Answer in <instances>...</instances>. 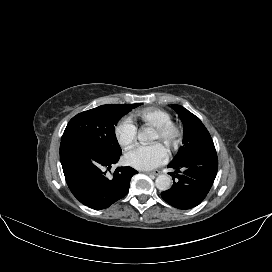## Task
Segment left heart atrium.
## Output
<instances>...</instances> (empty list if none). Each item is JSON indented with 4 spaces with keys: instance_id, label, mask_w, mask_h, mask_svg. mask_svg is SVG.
I'll return each mask as SVG.
<instances>
[{
    "instance_id": "1",
    "label": "left heart atrium",
    "mask_w": 272,
    "mask_h": 272,
    "mask_svg": "<svg viewBox=\"0 0 272 272\" xmlns=\"http://www.w3.org/2000/svg\"><path fill=\"white\" fill-rule=\"evenodd\" d=\"M129 165L140 170H151L162 164L167 153L165 148L158 142L147 146H136L126 156Z\"/></svg>"
}]
</instances>
